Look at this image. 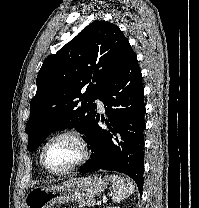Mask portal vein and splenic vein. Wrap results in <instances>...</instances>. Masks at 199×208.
I'll return each instance as SVG.
<instances>
[{"label":"portal vein and splenic vein","instance_id":"portal-vein-and-splenic-vein-1","mask_svg":"<svg viewBox=\"0 0 199 208\" xmlns=\"http://www.w3.org/2000/svg\"><path fill=\"white\" fill-rule=\"evenodd\" d=\"M97 205H101V201H97Z\"/></svg>","mask_w":199,"mask_h":208}]
</instances>
